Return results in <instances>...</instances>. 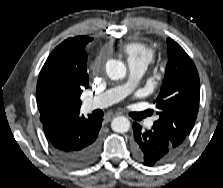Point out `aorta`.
<instances>
[{
    "mask_svg": "<svg viewBox=\"0 0 223 188\" xmlns=\"http://www.w3.org/2000/svg\"><path fill=\"white\" fill-rule=\"evenodd\" d=\"M106 72L110 79L121 80L126 75V67L119 60H109L106 64ZM111 128L118 133H125L130 129V121L124 117L119 116L112 120Z\"/></svg>",
    "mask_w": 223,
    "mask_h": 188,
    "instance_id": "aorta-1",
    "label": "aorta"
}]
</instances>
